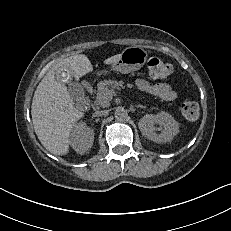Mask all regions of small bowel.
Masks as SVG:
<instances>
[{"instance_id":"obj_1","label":"small bowel","mask_w":231,"mask_h":231,"mask_svg":"<svg viewBox=\"0 0 231 231\" xmlns=\"http://www.w3.org/2000/svg\"><path fill=\"white\" fill-rule=\"evenodd\" d=\"M135 84L140 91L149 93L165 101H173L177 98V93L172 86L167 83L153 84L145 79H138Z\"/></svg>"}]
</instances>
